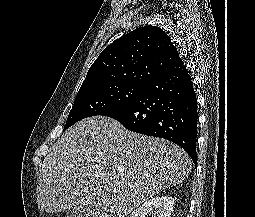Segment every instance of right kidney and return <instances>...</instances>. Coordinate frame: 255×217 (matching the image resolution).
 <instances>
[{
    "instance_id": "right-kidney-1",
    "label": "right kidney",
    "mask_w": 255,
    "mask_h": 217,
    "mask_svg": "<svg viewBox=\"0 0 255 217\" xmlns=\"http://www.w3.org/2000/svg\"><path fill=\"white\" fill-rule=\"evenodd\" d=\"M175 200L170 195H158L147 200L139 208L134 210L130 217H147L149 213H157L158 217H170Z\"/></svg>"
}]
</instances>
